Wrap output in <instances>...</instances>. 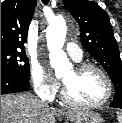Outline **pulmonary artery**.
Here are the masks:
<instances>
[{"label":"pulmonary artery","mask_w":122,"mask_h":123,"mask_svg":"<svg viewBox=\"0 0 122 123\" xmlns=\"http://www.w3.org/2000/svg\"><path fill=\"white\" fill-rule=\"evenodd\" d=\"M66 51L73 60L78 62L82 59L83 53L81 48L77 44L73 42H68L66 44Z\"/></svg>","instance_id":"e3ab8cb5"}]
</instances>
